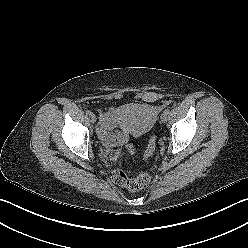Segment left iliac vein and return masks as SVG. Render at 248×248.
Here are the masks:
<instances>
[{
  "label": "left iliac vein",
  "instance_id": "1",
  "mask_svg": "<svg viewBox=\"0 0 248 248\" xmlns=\"http://www.w3.org/2000/svg\"><path fill=\"white\" fill-rule=\"evenodd\" d=\"M168 115H169L168 111H164V112L162 113V115H161V121H162L163 123H165V122L168 120Z\"/></svg>",
  "mask_w": 248,
  "mask_h": 248
}]
</instances>
